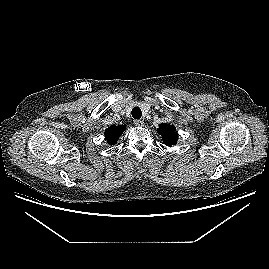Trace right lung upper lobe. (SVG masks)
<instances>
[{"label":"right lung upper lobe","mask_w":269,"mask_h":269,"mask_svg":"<svg viewBox=\"0 0 269 269\" xmlns=\"http://www.w3.org/2000/svg\"><path fill=\"white\" fill-rule=\"evenodd\" d=\"M125 129L124 125H113L105 130V139L109 144H115Z\"/></svg>","instance_id":"1"}]
</instances>
